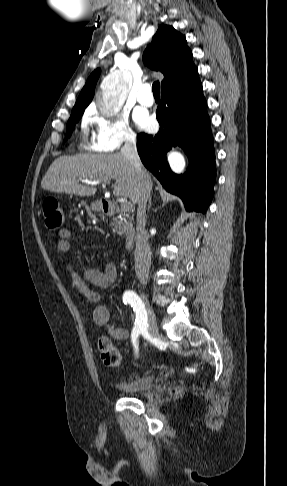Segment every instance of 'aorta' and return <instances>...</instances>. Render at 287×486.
<instances>
[{"label":"aorta","instance_id":"1","mask_svg":"<svg viewBox=\"0 0 287 486\" xmlns=\"http://www.w3.org/2000/svg\"><path fill=\"white\" fill-rule=\"evenodd\" d=\"M130 79L125 73L117 72L110 75L103 83L98 102L99 110L106 116L116 115L123 106L130 90ZM184 164L178 160L172 164V169L179 173Z\"/></svg>","mask_w":287,"mask_h":486}]
</instances>
